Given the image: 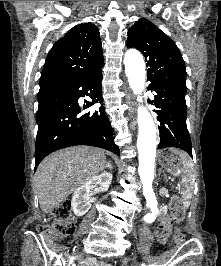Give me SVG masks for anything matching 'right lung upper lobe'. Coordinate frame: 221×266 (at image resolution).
<instances>
[{"mask_svg":"<svg viewBox=\"0 0 221 266\" xmlns=\"http://www.w3.org/2000/svg\"><path fill=\"white\" fill-rule=\"evenodd\" d=\"M101 66L104 58L99 30L90 22L76 25L50 50L40 87H63Z\"/></svg>","mask_w":221,"mask_h":266,"instance_id":"1","label":"right lung upper lobe"}]
</instances>
